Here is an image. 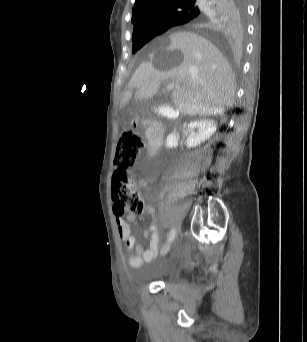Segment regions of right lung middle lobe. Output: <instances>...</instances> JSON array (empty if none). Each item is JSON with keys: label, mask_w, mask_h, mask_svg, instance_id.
Returning a JSON list of instances; mask_svg holds the SVG:
<instances>
[{"label": "right lung middle lobe", "mask_w": 307, "mask_h": 342, "mask_svg": "<svg viewBox=\"0 0 307 342\" xmlns=\"http://www.w3.org/2000/svg\"><path fill=\"white\" fill-rule=\"evenodd\" d=\"M163 30L158 31H149V32H143L139 34H135L132 37L133 40V48L132 53H136L140 48H142L147 42H149L154 37L162 34Z\"/></svg>", "instance_id": "right-lung-middle-lobe-1"}]
</instances>
